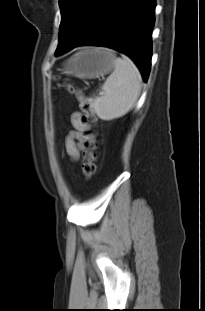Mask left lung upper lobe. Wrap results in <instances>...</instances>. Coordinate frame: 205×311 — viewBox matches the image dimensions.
<instances>
[{"label":"left lung upper lobe","instance_id":"5c2ea615","mask_svg":"<svg viewBox=\"0 0 205 311\" xmlns=\"http://www.w3.org/2000/svg\"><path fill=\"white\" fill-rule=\"evenodd\" d=\"M114 1L59 0L62 18L55 53L66 52L82 40L102 21Z\"/></svg>","mask_w":205,"mask_h":311}]
</instances>
